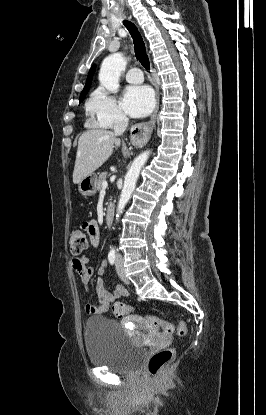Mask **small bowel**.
I'll use <instances>...</instances> for the list:
<instances>
[{"mask_svg":"<svg viewBox=\"0 0 266 415\" xmlns=\"http://www.w3.org/2000/svg\"><path fill=\"white\" fill-rule=\"evenodd\" d=\"M83 229L89 235L90 243L93 247H97L100 242V232L98 223L95 219H91L83 224ZM90 263V257L86 254L72 259V268L78 273L81 278L85 289L88 291V284L92 280L94 275V269L88 266ZM109 265L107 261H102L98 270V278L95 281V291L97 294V300L95 304H87L85 310L88 314H104L110 309L112 303L120 297L127 295V290L121 285H115L112 292L108 291L105 287L102 276L106 273Z\"/></svg>","mask_w":266,"mask_h":415,"instance_id":"c3829d8e","label":"small bowel"}]
</instances>
